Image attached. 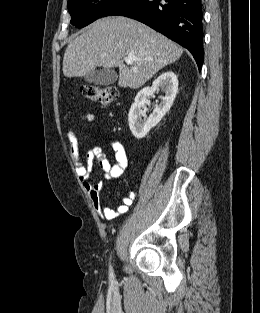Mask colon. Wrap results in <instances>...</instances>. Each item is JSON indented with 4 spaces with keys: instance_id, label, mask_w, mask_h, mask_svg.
Returning <instances> with one entry per match:
<instances>
[{
    "instance_id": "1",
    "label": "colon",
    "mask_w": 260,
    "mask_h": 313,
    "mask_svg": "<svg viewBox=\"0 0 260 313\" xmlns=\"http://www.w3.org/2000/svg\"><path fill=\"white\" fill-rule=\"evenodd\" d=\"M82 93L86 98L103 106L110 105L118 98V90L113 86L85 85L82 87ZM94 155L97 158L100 155L99 151L95 150Z\"/></svg>"
}]
</instances>
